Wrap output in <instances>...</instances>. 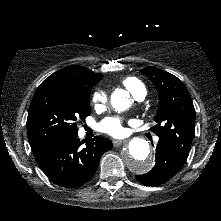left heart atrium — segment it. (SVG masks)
<instances>
[{
	"instance_id": "1",
	"label": "left heart atrium",
	"mask_w": 221,
	"mask_h": 221,
	"mask_svg": "<svg viewBox=\"0 0 221 221\" xmlns=\"http://www.w3.org/2000/svg\"><path fill=\"white\" fill-rule=\"evenodd\" d=\"M100 129L104 133L114 137H120L125 132L122 120L117 117H108L104 119L100 125Z\"/></svg>"
}]
</instances>
